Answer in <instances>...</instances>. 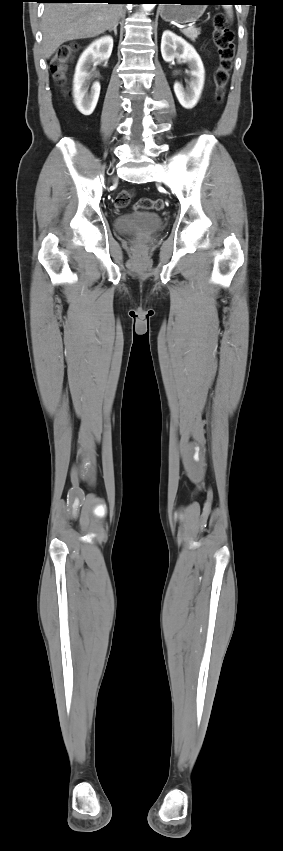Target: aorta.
Masks as SVG:
<instances>
[{
    "label": "aorta",
    "instance_id": "aorta-1",
    "mask_svg": "<svg viewBox=\"0 0 283 851\" xmlns=\"http://www.w3.org/2000/svg\"><path fill=\"white\" fill-rule=\"evenodd\" d=\"M143 6L145 10L150 11L153 9L154 4H143Z\"/></svg>",
    "mask_w": 283,
    "mask_h": 851
}]
</instances>
